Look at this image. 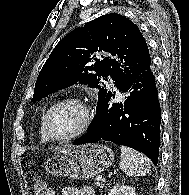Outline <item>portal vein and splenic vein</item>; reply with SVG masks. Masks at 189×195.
I'll return each instance as SVG.
<instances>
[{"label":"portal vein and splenic vein","instance_id":"portal-vein-and-splenic-vein-1","mask_svg":"<svg viewBox=\"0 0 189 195\" xmlns=\"http://www.w3.org/2000/svg\"><path fill=\"white\" fill-rule=\"evenodd\" d=\"M97 181L98 182H104V180L102 179V177H97Z\"/></svg>","mask_w":189,"mask_h":195}]
</instances>
